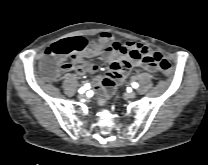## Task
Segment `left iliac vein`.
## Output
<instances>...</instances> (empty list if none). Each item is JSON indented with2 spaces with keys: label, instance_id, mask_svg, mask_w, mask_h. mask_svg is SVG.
I'll list each match as a JSON object with an SVG mask.
<instances>
[{
  "label": "left iliac vein",
  "instance_id": "obj_1",
  "mask_svg": "<svg viewBox=\"0 0 208 165\" xmlns=\"http://www.w3.org/2000/svg\"><path fill=\"white\" fill-rule=\"evenodd\" d=\"M124 96H125V98L132 99V98H135L137 96V93L134 92V91H131V92L125 93Z\"/></svg>",
  "mask_w": 208,
  "mask_h": 165
}]
</instances>
